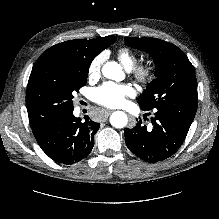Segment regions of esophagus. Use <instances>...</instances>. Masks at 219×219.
<instances>
[{
    "instance_id": "34e87169",
    "label": "esophagus",
    "mask_w": 219,
    "mask_h": 219,
    "mask_svg": "<svg viewBox=\"0 0 219 219\" xmlns=\"http://www.w3.org/2000/svg\"><path fill=\"white\" fill-rule=\"evenodd\" d=\"M112 112H113V110L107 109L105 111V113H106L105 117L109 116Z\"/></svg>"
}]
</instances>
